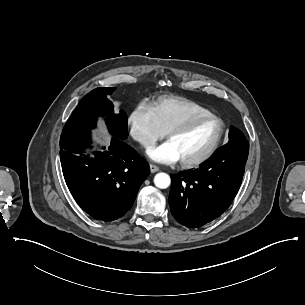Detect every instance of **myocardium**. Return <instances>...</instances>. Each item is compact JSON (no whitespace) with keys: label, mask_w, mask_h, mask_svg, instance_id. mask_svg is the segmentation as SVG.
Here are the masks:
<instances>
[{"label":"myocardium","mask_w":305,"mask_h":305,"mask_svg":"<svg viewBox=\"0 0 305 305\" xmlns=\"http://www.w3.org/2000/svg\"><path fill=\"white\" fill-rule=\"evenodd\" d=\"M210 118H216L221 123V131L219 137L216 142L201 156L191 160H181V163L185 168H193L205 163L206 161L211 159L213 155L220 149V147L225 141L226 134L228 132V127L225 120L220 115L209 111L206 114L191 116L178 123H175L166 131V137L169 138V136L173 133L184 131L191 125L206 121Z\"/></svg>","instance_id":"1"}]
</instances>
